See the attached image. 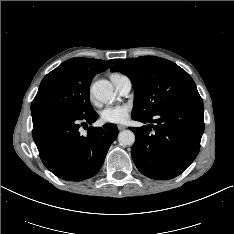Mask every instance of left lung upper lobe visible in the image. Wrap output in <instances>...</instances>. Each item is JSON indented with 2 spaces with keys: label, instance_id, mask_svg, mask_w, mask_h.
<instances>
[{
  "label": "left lung upper lobe",
  "instance_id": "obj_1",
  "mask_svg": "<svg viewBox=\"0 0 234 234\" xmlns=\"http://www.w3.org/2000/svg\"><path fill=\"white\" fill-rule=\"evenodd\" d=\"M111 71L125 74L133 84L132 119L150 117L177 102L200 96L193 79L185 70L160 57L118 59Z\"/></svg>",
  "mask_w": 234,
  "mask_h": 234
}]
</instances>
